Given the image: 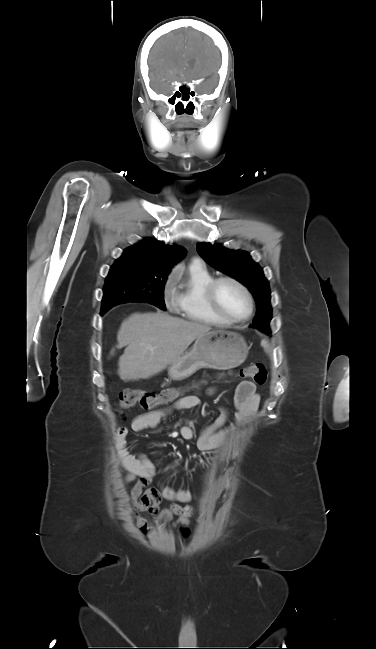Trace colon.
Wrapping results in <instances>:
<instances>
[{"instance_id":"colon-1","label":"colon","mask_w":376,"mask_h":649,"mask_svg":"<svg viewBox=\"0 0 376 649\" xmlns=\"http://www.w3.org/2000/svg\"><path fill=\"white\" fill-rule=\"evenodd\" d=\"M242 376L251 378L258 385H264L268 373L264 364L254 363L242 370ZM179 394V390L175 388H167L159 392L127 388L119 393L118 407L127 409L138 404L143 408L150 409L173 402L179 397Z\"/></svg>"}]
</instances>
